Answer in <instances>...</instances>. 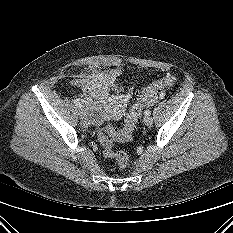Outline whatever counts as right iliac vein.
<instances>
[{"instance_id":"obj_1","label":"right iliac vein","mask_w":233,"mask_h":233,"mask_svg":"<svg viewBox=\"0 0 233 233\" xmlns=\"http://www.w3.org/2000/svg\"><path fill=\"white\" fill-rule=\"evenodd\" d=\"M79 115H80L81 118H83V119H86V118H87V114H86V112H85L84 110H80V111H79Z\"/></svg>"}]
</instances>
